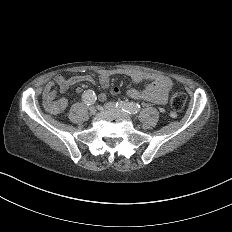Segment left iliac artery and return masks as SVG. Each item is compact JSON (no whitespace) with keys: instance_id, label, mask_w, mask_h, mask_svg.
<instances>
[{"instance_id":"obj_1","label":"left iliac artery","mask_w":232,"mask_h":232,"mask_svg":"<svg viewBox=\"0 0 232 232\" xmlns=\"http://www.w3.org/2000/svg\"><path fill=\"white\" fill-rule=\"evenodd\" d=\"M117 106H119L123 111H125L129 114H136V113H139L141 110L140 105L137 103L119 102V103H117Z\"/></svg>"}]
</instances>
